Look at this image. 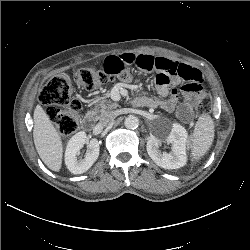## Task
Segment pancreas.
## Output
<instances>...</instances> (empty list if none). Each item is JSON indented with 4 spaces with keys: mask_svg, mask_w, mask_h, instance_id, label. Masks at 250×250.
Instances as JSON below:
<instances>
[{
    "mask_svg": "<svg viewBox=\"0 0 250 250\" xmlns=\"http://www.w3.org/2000/svg\"><path fill=\"white\" fill-rule=\"evenodd\" d=\"M118 106L119 105L117 103H113L111 101H101L95 105L91 113L96 117H100L108 110L117 108Z\"/></svg>",
    "mask_w": 250,
    "mask_h": 250,
    "instance_id": "1",
    "label": "pancreas"
}]
</instances>
